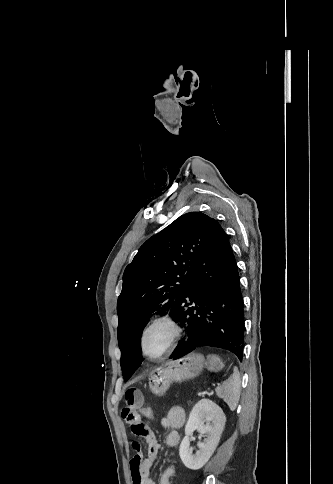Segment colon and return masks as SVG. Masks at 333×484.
I'll return each instance as SVG.
<instances>
[{"mask_svg":"<svg viewBox=\"0 0 333 484\" xmlns=\"http://www.w3.org/2000/svg\"><path fill=\"white\" fill-rule=\"evenodd\" d=\"M142 415L148 420H153L156 416L155 411L148 406L142 408Z\"/></svg>","mask_w":333,"mask_h":484,"instance_id":"5ec220e1","label":"colon"}]
</instances>
